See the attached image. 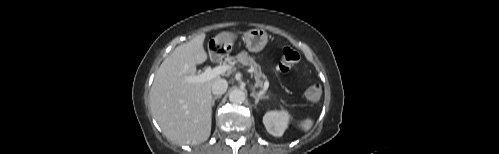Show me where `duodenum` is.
Masks as SVG:
<instances>
[{
    "mask_svg": "<svg viewBox=\"0 0 499 154\" xmlns=\"http://www.w3.org/2000/svg\"><path fill=\"white\" fill-rule=\"evenodd\" d=\"M211 55H212V58H214V59H218V58H219V56H220V51H216V50H214V52H213Z\"/></svg>",
    "mask_w": 499,
    "mask_h": 154,
    "instance_id": "obj_1",
    "label": "duodenum"
}]
</instances>
